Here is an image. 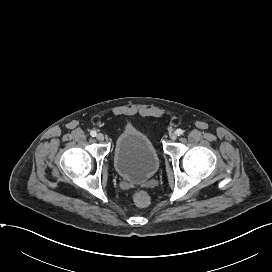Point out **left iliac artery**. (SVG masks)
Instances as JSON below:
<instances>
[{
  "label": "left iliac artery",
  "mask_w": 272,
  "mask_h": 272,
  "mask_svg": "<svg viewBox=\"0 0 272 272\" xmlns=\"http://www.w3.org/2000/svg\"><path fill=\"white\" fill-rule=\"evenodd\" d=\"M176 134L179 136V135H182L183 134V130L182 129H177L176 130Z\"/></svg>",
  "instance_id": "obj_1"
}]
</instances>
